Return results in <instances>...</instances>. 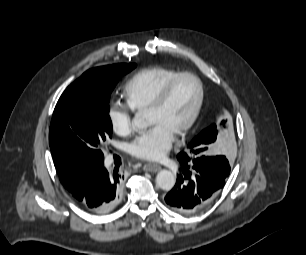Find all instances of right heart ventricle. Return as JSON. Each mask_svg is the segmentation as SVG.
Masks as SVG:
<instances>
[{
    "instance_id": "right-heart-ventricle-1",
    "label": "right heart ventricle",
    "mask_w": 306,
    "mask_h": 255,
    "mask_svg": "<svg viewBox=\"0 0 306 255\" xmlns=\"http://www.w3.org/2000/svg\"><path fill=\"white\" fill-rule=\"evenodd\" d=\"M178 73L175 69L163 66L138 71L124 86L127 104L136 111L146 110L163 86Z\"/></svg>"
}]
</instances>
